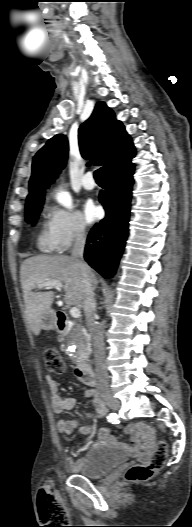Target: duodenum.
<instances>
[{
    "label": "duodenum",
    "mask_w": 192,
    "mask_h": 527,
    "mask_svg": "<svg viewBox=\"0 0 192 527\" xmlns=\"http://www.w3.org/2000/svg\"><path fill=\"white\" fill-rule=\"evenodd\" d=\"M67 320L63 312L56 313V326L59 331L66 329ZM76 376L87 385H95L96 380L90 367L85 363H79L75 369Z\"/></svg>",
    "instance_id": "1"
}]
</instances>
